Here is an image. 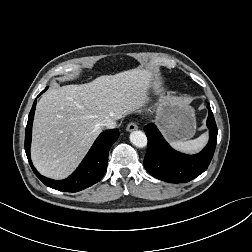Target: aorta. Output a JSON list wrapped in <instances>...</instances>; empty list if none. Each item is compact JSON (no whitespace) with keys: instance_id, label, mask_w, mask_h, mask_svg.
I'll use <instances>...</instances> for the list:
<instances>
[{"instance_id":"1","label":"aorta","mask_w":252,"mask_h":252,"mask_svg":"<svg viewBox=\"0 0 252 252\" xmlns=\"http://www.w3.org/2000/svg\"><path fill=\"white\" fill-rule=\"evenodd\" d=\"M130 141L138 148H144L147 145V137L144 132L135 130L130 134Z\"/></svg>"}]
</instances>
